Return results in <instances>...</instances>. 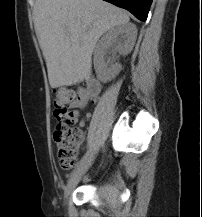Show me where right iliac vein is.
Returning a JSON list of instances; mask_svg holds the SVG:
<instances>
[{
	"mask_svg": "<svg viewBox=\"0 0 202 217\" xmlns=\"http://www.w3.org/2000/svg\"><path fill=\"white\" fill-rule=\"evenodd\" d=\"M94 161V156L90 157L87 162L83 166H81L75 174L71 177L69 180L65 191H64V198L65 200L68 199L71 192L74 190V188L77 186L79 181L81 180L82 176L88 171V169L91 167L92 163Z\"/></svg>",
	"mask_w": 202,
	"mask_h": 217,
	"instance_id": "63e3f726",
	"label": "right iliac vein"
}]
</instances>
